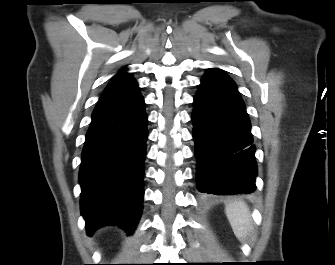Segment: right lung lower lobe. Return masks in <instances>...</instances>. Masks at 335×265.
<instances>
[{
  "instance_id": "obj_1",
  "label": "right lung lower lobe",
  "mask_w": 335,
  "mask_h": 265,
  "mask_svg": "<svg viewBox=\"0 0 335 265\" xmlns=\"http://www.w3.org/2000/svg\"><path fill=\"white\" fill-rule=\"evenodd\" d=\"M146 139L147 115L139 91L99 100L79 172L88 235L106 224L133 233L142 212Z\"/></svg>"
}]
</instances>
